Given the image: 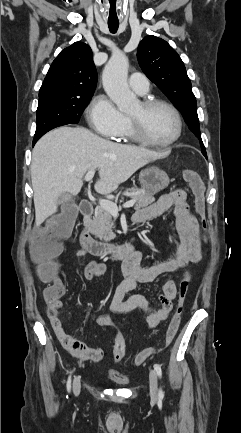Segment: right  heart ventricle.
Here are the masks:
<instances>
[{
	"label": "right heart ventricle",
	"instance_id": "right-heart-ventricle-1",
	"mask_svg": "<svg viewBox=\"0 0 241 433\" xmlns=\"http://www.w3.org/2000/svg\"><path fill=\"white\" fill-rule=\"evenodd\" d=\"M114 139L117 141H123V142H127V143L136 141V139H135V137L131 131L128 118H126V123H125L123 129L121 130V132L118 135H116L114 137Z\"/></svg>",
	"mask_w": 241,
	"mask_h": 433
}]
</instances>
